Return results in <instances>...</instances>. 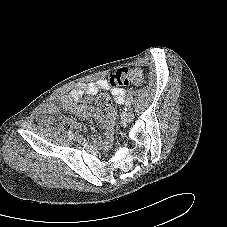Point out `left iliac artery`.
Instances as JSON below:
<instances>
[{
  "mask_svg": "<svg viewBox=\"0 0 227 227\" xmlns=\"http://www.w3.org/2000/svg\"><path fill=\"white\" fill-rule=\"evenodd\" d=\"M125 106H126L128 109H130V108H131V103H130L129 101H126V102H125ZM125 110H127V109H125Z\"/></svg>",
  "mask_w": 227,
  "mask_h": 227,
  "instance_id": "obj_1",
  "label": "left iliac artery"
}]
</instances>
